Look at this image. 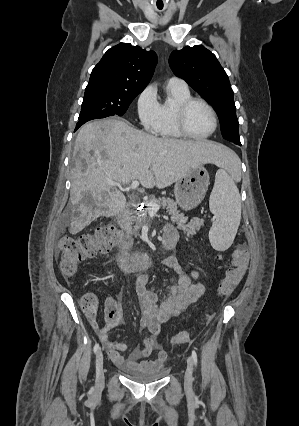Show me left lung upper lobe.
Instances as JSON below:
<instances>
[{"mask_svg": "<svg viewBox=\"0 0 299 426\" xmlns=\"http://www.w3.org/2000/svg\"><path fill=\"white\" fill-rule=\"evenodd\" d=\"M169 65L175 75L213 105L223 138L241 145L233 90L216 56L202 45L186 46L171 53Z\"/></svg>", "mask_w": 299, "mask_h": 426, "instance_id": "left-lung-upper-lobe-1", "label": "left lung upper lobe"}]
</instances>
